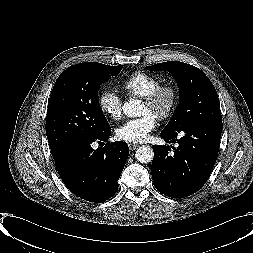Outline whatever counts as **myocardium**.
<instances>
[{
    "label": "myocardium",
    "instance_id": "myocardium-1",
    "mask_svg": "<svg viewBox=\"0 0 253 253\" xmlns=\"http://www.w3.org/2000/svg\"><path fill=\"white\" fill-rule=\"evenodd\" d=\"M166 98L167 103L162 111L156 114L155 118L162 121L172 115L179 101V91L172 84H162L143 97V102L149 106L158 104L162 99Z\"/></svg>",
    "mask_w": 253,
    "mask_h": 253
}]
</instances>
